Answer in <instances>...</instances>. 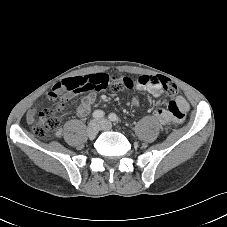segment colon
I'll list each match as a JSON object with an SVG mask.
<instances>
[{
  "label": "colon",
  "mask_w": 227,
  "mask_h": 227,
  "mask_svg": "<svg viewBox=\"0 0 227 227\" xmlns=\"http://www.w3.org/2000/svg\"><path fill=\"white\" fill-rule=\"evenodd\" d=\"M110 77L112 75H109ZM119 77V75H117ZM125 77V76H124ZM132 78V77H131ZM69 79V78H67ZM133 84L130 87H119L110 85L109 87L118 91L123 88H133L138 83L141 84H160L168 93L175 94L177 92V86L168 78L163 76H146L138 79L132 78ZM65 80V79H64ZM61 108H46L38 113L37 121L34 124L33 132L37 137H45L49 132L56 130L61 123Z\"/></svg>",
  "instance_id": "colon-1"
}]
</instances>
